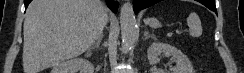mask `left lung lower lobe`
Here are the masks:
<instances>
[{"label":"left lung lower lobe","mask_w":244,"mask_h":73,"mask_svg":"<svg viewBox=\"0 0 244 73\" xmlns=\"http://www.w3.org/2000/svg\"><path fill=\"white\" fill-rule=\"evenodd\" d=\"M159 1H161V0H133L134 12L137 14L138 11H140L144 8L150 7ZM197 1L204 4L210 10L216 12L215 0H197Z\"/></svg>","instance_id":"left-lung-lower-lobe-1"}]
</instances>
